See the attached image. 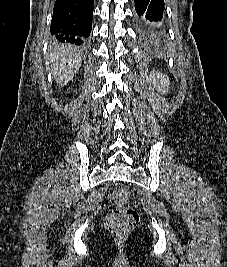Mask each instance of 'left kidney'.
<instances>
[{
  "label": "left kidney",
  "instance_id": "1",
  "mask_svg": "<svg viewBox=\"0 0 227 267\" xmlns=\"http://www.w3.org/2000/svg\"><path fill=\"white\" fill-rule=\"evenodd\" d=\"M153 85L162 93H166L169 89L170 81L169 77L163 73L153 70L150 74Z\"/></svg>",
  "mask_w": 227,
  "mask_h": 267
}]
</instances>
